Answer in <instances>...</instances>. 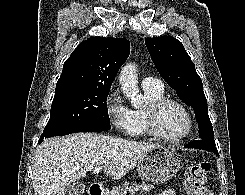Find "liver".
<instances>
[{
    "instance_id": "1",
    "label": "liver",
    "mask_w": 245,
    "mask_h": 195,
    "mask_svg": "<svg viewBox=\"0 0 245 195\" xmlns=\"http://www.w3.org/2000/svg\"><path fill=\"white\" fill-rule=\"evenodd\" d=\"M162 147L96 133H76L44 140L36 149L33 166L35 195H66L65 187L98 166L121 179L143 154Z\"/></svg>"
}]
</instances>
